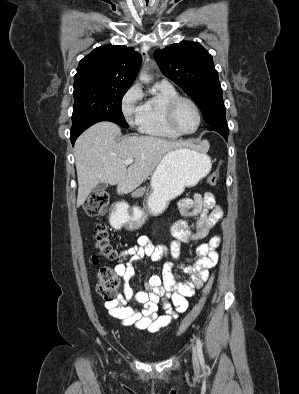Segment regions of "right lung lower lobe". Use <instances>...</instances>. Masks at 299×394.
I'll return each mask as SVG.
<instances>
[{"label":"right lung lower lobe","mask_w":299,"mask_h":394,"mask_svg":"<svg viewBox=\"0 0 299 394\" xmlns=\"http://www.w3.org/2000/svg\"><path fill=\"white\" fill-rule=\"evenodd\" d=\"M91 125H93V124L92 123H87V124H79V125L72 126V128H71V135H70V139H71L72 145H74V142L77 139V137L84 130H86L88 127H90Z\"/></svg>","instance_id":"obj_1"}]
</instances>
